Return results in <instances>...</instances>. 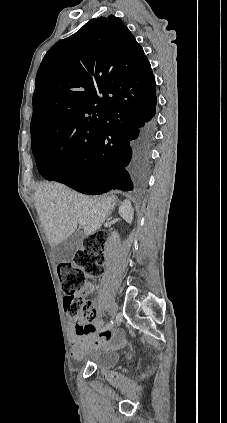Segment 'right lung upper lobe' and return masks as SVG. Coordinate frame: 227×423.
Here are the masks:
<instances>
[{
	"label": "right lung upper lobe",
	"instance_id": "cb5924a9",
	"mask_svg": "<svg viewBox=\"0 0 227 423\" xmlns=\"http://www.w3.org/2000/svg\"><path fill=\"white\" fill-rule=\"evenodd\" d=\"M155 90L150 63L126 25L113 15L92 19L44 56L36 75L31 141L94 139L113 103Z\"/></svg>",
	"mask_w": 227,
	"mask_h": 423
}]
</instances>
